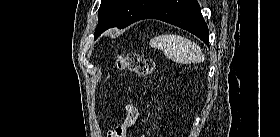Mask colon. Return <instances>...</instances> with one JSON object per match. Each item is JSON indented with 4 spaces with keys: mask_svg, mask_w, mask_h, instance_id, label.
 I'll return each instance as SVG.
<instances>
[{
    "mask_svg": "<svg viewBox=\"0 0 280 137\" xmlns=\"http://www.w3.org/2000/svg\"><path fill=\"white\" fill-rule=\"evenodd\" d=\"M115 66L121 71H127L137 76L151 77L157 81V70L155 62L150 57L142 56L138 53L130 52L125 55H119L115 59ZM155 127V124L152 126ZM127 126L119 124L109 131V137H126Z\"/></svg>",
    "mask_w": 280,
    "mask_h": 137,
    "instance_id": "obj_1",
    "label": "colon"
}]
</instances>
